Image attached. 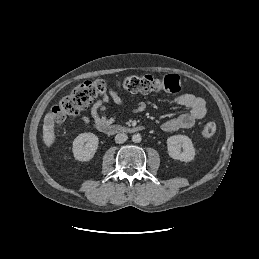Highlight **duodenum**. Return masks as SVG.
Segmentation results:
<instances>
[{"instance_id": "410a0bca", "label": "duodenum", "mask_w": 259, "mask_h": 259, "mask_svg": "<svg viewBox=\"0 0 259 259\" xmlns=\"http://www.w3.org/2000/svg\"><path fill=\"white\" fill-rule=\"evenodd\" d=\"M97 129L106 134H117V133H135L143 129L141 126H120V125H111V124H100L97 126Z\"/></svg>"}]
</instances>
